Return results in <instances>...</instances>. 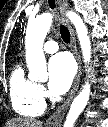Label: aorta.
Masks as SVG:
<instances>
[{
  "mask_svg": "<svg viewBox=\"0 0 108 127\" xmlns=\"http://www.w3.org/2000/svg\"><path fill=\"white\" fill-rule=\"evenodd\" d=\"M67 16L76 29L84 62L89 63L91 59V41L88 36L87 27L76 12L69 11L67 12ZM52 21L53 15L47 12L28 22L25 36V49L29 79L32 81H45L48 78L43 43ZM90 93V84L87 81L73 100L64 127L74 126L78 116L87 105Z\"/></svg>",
  "mask_w": 108,
  "mask_h": 127,
  "instance_id": "aorta-1",
  "label": "aorta"
}]
</instances>
